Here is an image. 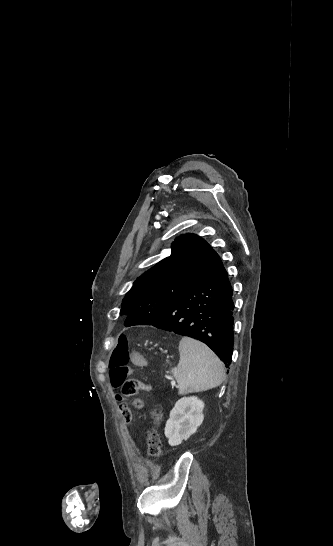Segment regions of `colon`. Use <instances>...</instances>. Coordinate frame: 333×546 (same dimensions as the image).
Here are the masks:
<instances>
[{
	"instance_id": "1",
	"label": "colon",
	"mask_w": 333,
	"mask_h": 546,
	"mask_svg": "<svg viewBox=\"0 0 333 546\" xmlns=\"http://www.w3.org/2000/svg\"><path fill=\"white\" fill-rule=\"evenodd\" d=\"M130 353V347L126 336H119L118 342L110 358V380L114 387H121L122 397L126 401H130L135 407L140 408L143 404L137 397L138 392L141 390L150 391L152 387L137 379H128L130 372ZM151 417L154 420V427L147 433L148 452L151 458L158 459L163 450V441L158 432V426L162 420V416L159 411L153 410L151 412Z\"/></svg>"
}]
</instances>
